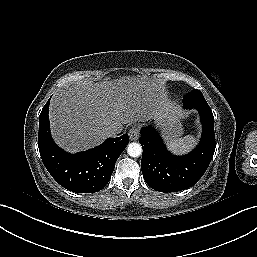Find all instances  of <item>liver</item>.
Here are the masks:
<instances>
[{
	"label": "liver",
	"instance_id": "6515ba94",
	"mask_svg": "<svg viewBox=\"0 0 257 257\" xmlns=\"http://www.w3.org/2000/svg\"><path fill=\"white\" fill-rule=\"evenodd\" d=\"M162 112L174 110L161 86L141 76H127L65 86L53 95L49 118L54 141L77 153L101 144L109 130L119 133L123 124L145 122Z\"/></svg>",
	"mask_w": 257,
	"mask_h": 257
}]
</instances>
